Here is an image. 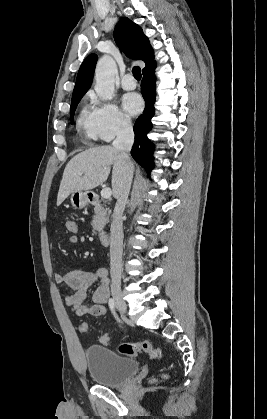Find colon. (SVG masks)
<instances>
[{"mask_svg":"<svg viewBox=\"0 0 267 419\" xmlns=\"http://www.w3.org/2000/svg\"><path fill=\"white\" fill-rule=\"evenodd\" d=\"M65 226L69 233V241L73 244L77 243L79 240L78 223L76 221L69 220L66 222ZM79 330L81 333H87L88 324L85 322L81 323L79 326ZM100 341L103 345H109L110 336L106 333L101 337ZM119 352L123 355L130 357L136 356L139 352H145L154 360H158L162 357L161 349L156 347L149 341L123 342L119 345Z\"/></svg>","mask_w":267,"mask_h":419,"instance_id":"1","label":"colon"}]
</instances>
